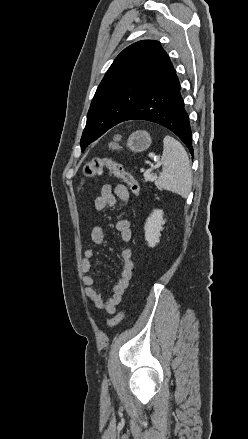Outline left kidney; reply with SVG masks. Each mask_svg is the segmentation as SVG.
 <instances>
[{
	"mask_svg": "<svg viewBox=\"0 0 248 439\" xmlns=\"http://www.w3.org/2000/svg\"><path fill=\"white\" fill-rule=\"evenodd\" d=\"M164 213L162 210L156 209L153 213L147 218L146 223L144 225L145 231V240L149 247H155L161 237V231L163 230V225L166 220L163 219Z\"/></svg>",
	"mask_w": 248,
	"mask_h": 439,
	"instance_id": "left-kidney-1",
	"label": "left kidney"
}]
</instances>
